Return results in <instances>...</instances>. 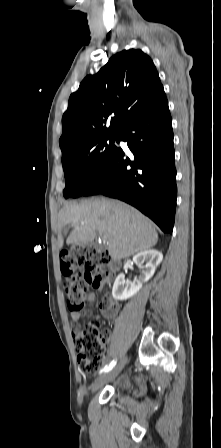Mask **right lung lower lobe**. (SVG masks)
I'll return each instance as SVG.
<instances>
[{"label": "right lung lower lobe", "mask_w": 221, "mask_h": 448, "mask_svg": "<svg viewBox=\"0 0 221 448\" xmlns=\"http://www.w3.org/2000/svg\"><path fill=\"white\" fill-rule=\"evenodd\" d=\"M112 158L83 193L123 200L172 233L176 210V169L172 120L165 96L134 115L118 133Z\"/></svg>", "instance_id": "right-lung-lower-lobe-1"}]
</instances>
